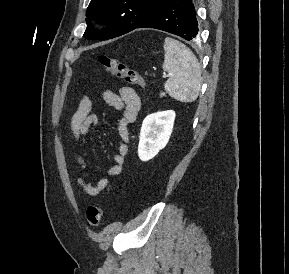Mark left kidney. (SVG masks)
I'll use <instances>...</instances> for the list:
<instances>
[{
    "mask_svg": "<svg viewBox=\"0 0 289 274\" xmlns=\"http://www.w3.org/2000/svg\"><path fill=\"white\" fill-rule=\"evenodd\" d=\"M174 120L175 112L172 110L150 114L144 119L138 145L140 160L152 159L167 145Z\"/></svg>",
    "mask_w": 289,
    "mask_h": 274,
    "instance_id": "5707ae66",
    "label": "left kidney"
}]
</instances>
